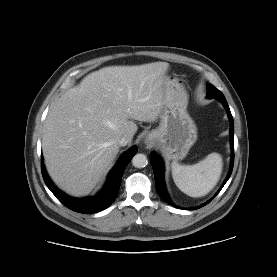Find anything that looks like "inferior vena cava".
I'll return each instance as SVG.
<instances>
[{
  "label": "inferior vena cava",
  "mask_w": 277,
  "mask_h": 277,
  "mask_svg": "<svg viewBox=\"0 0 277 277\" xmlns=\"http://www.w3.org/2000/svg\"><path fill=\"white\" fill-rule=\"evenodd\" d=\"M129 142L130 140L127 137H122L118 140L120 146H126Z\"/></svg>",
  "instance_id": "obj_1"
}]
</instances>
